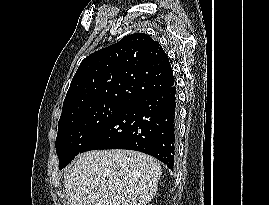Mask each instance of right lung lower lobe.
Returning a JSON list of instances; mask_svg holds the SVG:
<instances>
[{
  "instance_id": "right-lung-lower-lobe-1",
  "label": "right lung lower lobe",
  "mask_w": 269,
  "mask_h": 205,
  "mask_svg": "<svg viewBox=\"0 0 269 205\" xmlns=\"http://www.w3.org/2000/svg\"><path fill=\"white\" fill-rule=\"evenodd\" d=\"M176 134V88L172 86L127 106L80 153L95 149L136 150L173 170Z\"/></svg>"
}]
</instances>
